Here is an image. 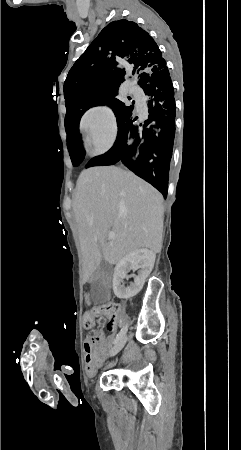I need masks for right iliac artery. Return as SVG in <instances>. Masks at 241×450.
<instances>
[{
	"mask_svg": "<svg viewBox=\"0 0 241 450\" xmlns=\"http://www.w3.org/2000/svg\"><path fill=\"white\" fill-rule=\"evenodd\" d=\"M127 332V326L123 327L120 332L117 334L116 339L114 340V344L121 340Z\"/></svg>",
	"mask_w": 241,
	"mask_h": 450,
	"instance_id": "obj_1",
	"label": "right iliac artery"
}]
</instances>
